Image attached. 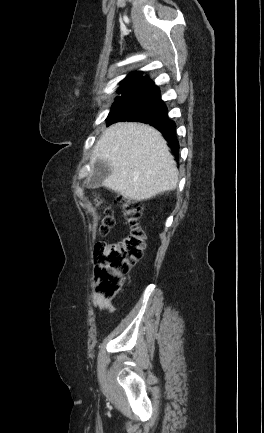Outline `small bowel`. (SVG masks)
<instances>
[{
  "label": "small bowel",
  "instance_id": "small-bowel-1",
  "mask_svg": "<svg viewBox=\"0 0 264 433\" xmlns=\"http://www.w3.org/2000/svg\"><path fill=\"white\" fill-rule=\"evenodd\" d=\"M91 301L93 306L98 309L105 310L110 313L115 311L112 299L105 298L97 290H94Z\"/></svg>",
  "mask_w": 264,
  "mask_h": 433
}]
</instances>
